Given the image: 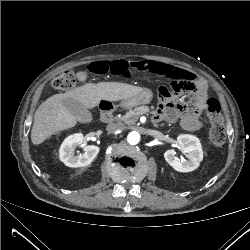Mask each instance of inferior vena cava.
<instances>
[{
    "mask_svg": "<svg viewBox=\"0 0 250 250\" xmlns=\"http://www.w3.org/2000/svg\"><path fill=\"white\" fill-rule=\"evenodd\" d=\"M106 130L109 133H114L116 131H122L124 130V126L118 125V124H109L106 128Z\"/></svg>",
    "mask_w": 250,
    "mask_h": 250,
    "instance_id": "inferior-vena-cava-1",
    "label": "inferior vena cava"
}]
</instances>
